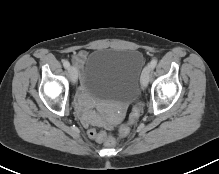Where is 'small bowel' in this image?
<instances>
[{
	"label": "small bowel",
	"mask_w": 219,
	"mask_h": 174,
	"mask_svg": "<svg viewBox=\"0 0 219 174\" xmlns=\"http://www.w3.org/2000/svg\"><path fill=\"white\" fill-rule=\"evenodd\" d=\"M87 58L86 51H79L73 56V62L77 67H82ZM80 113L85 123H89L95 119V114L90 111L89 103L86 100L85 94L82 92L77 97Z\"/></svg>",
	"instance_id": "c3829d8e"
}]
</instances>
